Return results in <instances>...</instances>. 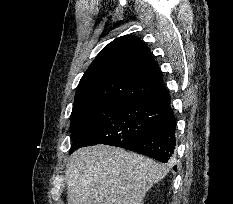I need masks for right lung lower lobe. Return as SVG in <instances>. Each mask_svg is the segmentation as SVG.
I'll use <instances>...</instances> for the list:
<instances>
[{
	"instance_id": "obj_1",
	"label": "right lung lower lobe",
	"mask_w": 233,
	"mask_h": 204,
	"mask_svg": "<svg viewBox=\"0 0 233 204\" xmlns=\"http://www.w3.org/2000/svg\"><path fill=\"white\" fill-rule=\"evenodd\" d=\"M152 104L156 108V111L159 112V115L163 117L164 124L151 133L133 137L128 140H122L115 146L138 152L166 163L172 157L176 144V120L170 106V96L168 92L164 91L160 95L152 98ZM88 145L89 144L80 145L74 150ZM174 170H176V167H174Z\"/></svg>"
}]
</instances>
